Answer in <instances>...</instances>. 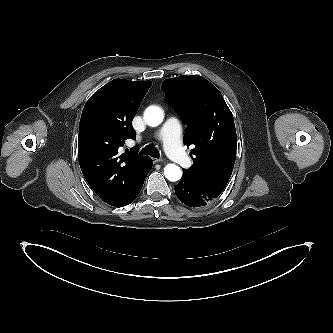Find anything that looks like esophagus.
Returning <instances> with one entry per match:
<instances>
[{
	"mask_svg": "<svg viewBox=\"0 0 333 333\" xmlns=\"http://www.w3.org/2000/svg\"><path fill=\"white\" fill-rule=\"evenodd\" d=\"M151 159H152L153 163L164 162V159H162V158H154V157H152Z\"/></svg>",
	"mask_w": 333,
	"mask_h": 333,
	"instance_id": "obj_1",
	"label": "esophagus"
}]
</instances>
